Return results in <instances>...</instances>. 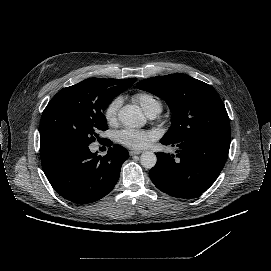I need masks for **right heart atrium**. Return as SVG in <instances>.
<instances>
[{
  "label": "right heart atrium",
  "mask_w": 271,
  "mask_h": 271,
  "mask_svg": "<svg viewBox=\"0 0 271 271\" xmlns=\"http://www.w3.org/2000/svg\"><path fill=\"white\" fill-rule=\"evenodd\" d=\"M122 103V95H117L106 105L103 111V116L108 124H112L116 120L119 108L121 107Z\"/></svg>",
  "instance_id": "1"
}]
</instances>
